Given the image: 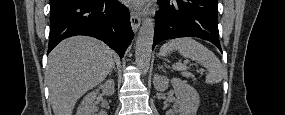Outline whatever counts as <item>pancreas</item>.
<instances>
[{"label":"pancreas","instance_id":"obj_1","mask_svg":"<svg viewBox=\"0 0 285 115\" xmlns=\"http://www.w3.org/2000/svg\"><path fill=\"white\" fill-rule=\"evenodd\" d=\"M182 76L186 77V78H192V79L195 80V78H194V76H193V74L191 72H183Z\"/></svg>","mask_w":285,"mask_h":115}]
</instances>
